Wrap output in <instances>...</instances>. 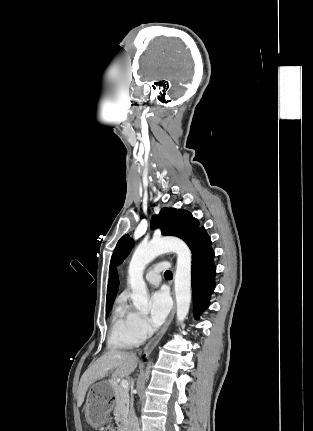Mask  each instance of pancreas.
Segmentation results:
<instances>
[{
  "mask_svg": "<svg viewBox=\"0 0 313 431\" xmlns=\"http://www.w3.org/2000/svg\"><path fill=\"white\" fill-rule=\"evenodd\" d=\"M115 407L114 416L118 426L121 427L127 420L129 411V392L128 389H124L119 385H115Z\"/></svg>",
  "mask_w": 313,
  "mask_h": 431,
  "instance_id": "obj_1",
  "label": "pancreas"
}]
</instances>
